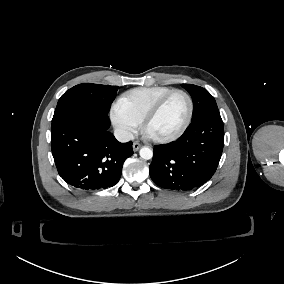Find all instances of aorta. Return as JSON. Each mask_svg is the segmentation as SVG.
I'll use <instances>...</instances> for the list:
<instances>
[{
	"label": "aorta",
	"mask_w": 284,
	"mask_h": 284,
	"mask_svg": "<svg viewBox=\"0 0 284 284\" xmlns=\"http://www.w3.org/2000/svg\"><path fill=\"white\" fill-rule=\"evenodd\" d=\"M140 157L149 160L153 157V151L149 147H142L139 151Z\"/></svg>",
	"instance_id": "obj_1"
}]
</instances>
